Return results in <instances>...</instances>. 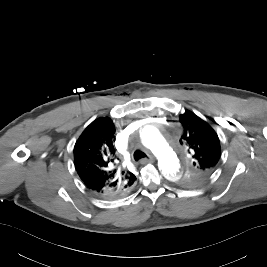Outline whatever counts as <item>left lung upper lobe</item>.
Listing matches in <instances>:
<instances>
[{
	"label": "left lung upper lobe",
	"instance_id": "left-lung-upper-lobe-1",
	"mask_svg": "<svg viewBox=\"0 0 267 267\" xmlns=\"http://www.w3.org/2000/svg\"><path fill=\"white\" fill-rule=\"evenodd\" d=\"M184 128L180 143L185 144L192 156L182 185L195 187L204 183L216 170L221 155L220 141L212 127L191 111L179 116Z\"/></svg>",
	"mask_w": 267,
	"mask_h": 267
}]
</instances>
